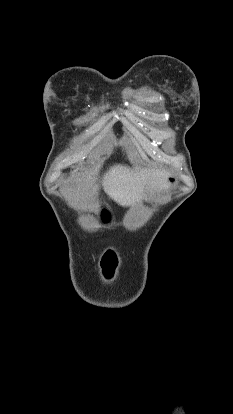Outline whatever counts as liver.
I'll return each instance as SVG.
<instances>
[{
  "label": "liver",
  "instance_id": "1",
  "mask_svg": "<svg viewBox=\"0 0 233 414\" xmlns=\"http://www.w3.org/2000/svg\"><path fill=\"white\" fill-rule=\"evenodd\" d=\"M79 169L72 176L79 175ZM170 174L158 169L131 170L122 165H116L104 175L102 184L107 195L122 206L131 205L143 199L145 186L165 189L169 184Z\"/></svg>",
  "mask_w": 233,
  "mask_h": 414
}]
</instances>
